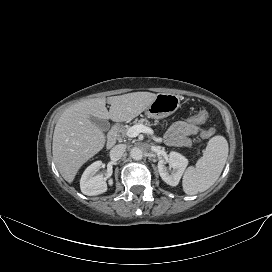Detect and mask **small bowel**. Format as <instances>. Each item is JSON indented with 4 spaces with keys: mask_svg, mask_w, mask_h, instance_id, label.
Wrapping results in <instances>:
<instances>
[{
    "mask_svg": "<svg viewBox=\"0 0 272 272\" xmlns=\"http://www.w3.org/2000/svg\"><path fill=\"white\" fill-rule=\"evenodd\" d=\"M199 127L191 122H175L167 131L166 142L172 146H183L190 143V136L197 134Z\"/></svg>",
    "mask_w": 272,
    "mask_h": 272,
    "instance_id": "obj_1",
    "label": "small bowel"
}]
</instances>
